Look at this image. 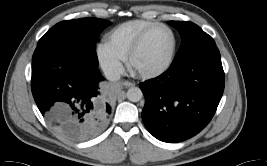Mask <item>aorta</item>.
Wrapping results in <instances>:
<instances>
[{
    "label": "aorta",
    "mask_w": 267,
    "mask_h": 166,
    "mask_svg": "<svg viewBox=\"0 0 267 166\" xmlns=\"http://www.w3.org/2000/svg\"><path fill=\"white\" fill-rule=\"evenodd\" d=\"M143 93L138 87H131L127 91V98L129 101L138 102L142 99Z\"/></svg>",
    "instance_id": "1"
}]
</instances>
